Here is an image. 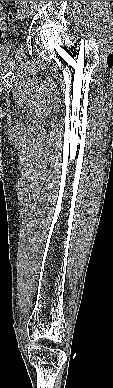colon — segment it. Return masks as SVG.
Here are the masks:
<instances>
[{"mask_svg":"<svg viewBox=\"0 0 113 388\" xmlns=\"http://www.w3.org/2000/svg\"><path fill=\"white\" fill-rule=\"evenodd\" d=\"M13 19H14V15L13 14H7L6 15V20L7 21H13ZM1 33H2V29L0 27V35H1Z\"/></svg>","mask_w":113,"mask_h":388,"instance_id":"colon-1","label":"colon"}]
</instances>
